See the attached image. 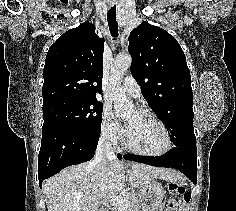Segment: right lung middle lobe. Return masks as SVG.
I'll return each mask as SVG.
<instances>
[{
  "label": "right lung middle lobe",
  "mask_w": 236,
  "mask_h": 211,
  "mask_svg": "<svg viewBox=\"0 0 236 211\" xmlns=\"http://www.w3.org/2000/svg\"><path fill=\"white\" fill-rule=\"evenodd\" d=\"M103 104L95 99L63 98L43 104V129L65 127L100 135Z\"/></svg>",
  "instance_id": "dd1d6c3e"
}]
</instances>
